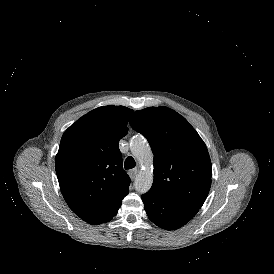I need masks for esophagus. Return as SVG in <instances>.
Listing matches in <instances>:
<instances>
[{
    "instance_id": "34e87169",
    "label": "esophagus",
    "mask_w": 274,
    "mask_h": 274,
    "mask_svg": "<svg viewBox=\"0 0 274 274\" xmlns=\"http://www.w3.org/2000/svg\"><path fill=\"white\" fill-rule=\"evenodd\" d=\"M130 178L132 180H134L136 177H137V174H138V170L137 169H132L128 172Z\"/></svg>"
}]
</instances>
